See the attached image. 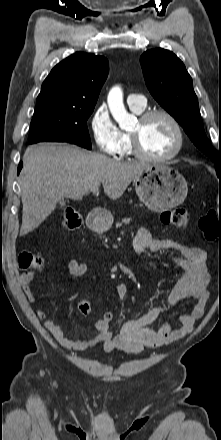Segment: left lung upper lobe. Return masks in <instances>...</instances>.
I'll use <instances>...</instances> for the list:
<instances>
[{"label":"left lung upper lobe","mask_w":221,"mask_h":440,"mask_svg":"<svg viewBox=\"0 0 221 440\" xmlns=\"http://www.w3.org/2000/svg\"><path fill=\"white\" fill-rule=\"evenodd\" d=\"M140 63L152 96L184 128L193 143L217 162L216 152L203 128L192 79L183 62L171 51L158 48L144 52Z\"/></svg>","instance_id":"5c2ea615"}]
</instances>
